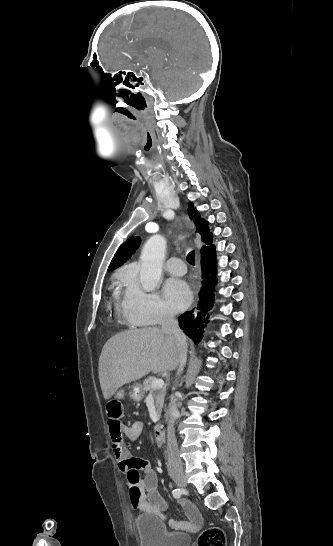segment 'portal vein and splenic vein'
Masks as SVG:
<instances>
[{"mask_svg":"<svg viewBox=\"0 0 333 546\" xmlns=\"http://www.w3.org/2000/svg\"><path fill=\"white\" fill-rule=\"evenodd\" d=\"M151 387L153 389L163 388L164 380L162 378H156L152 381Z\"/></svg>","mask_w":333,"mask_h":546,"instance_id":"obj_1","label":"portal vein and splenic vein"}]
</instances>
